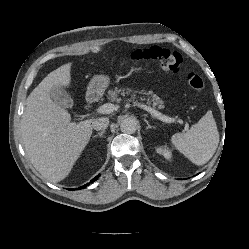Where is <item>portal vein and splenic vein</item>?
Returning <instances> with one entry per match:
<instances>
[{"label":"portal vein and splenic vein","mask_w":249,"mask_h":249,"mask_svg":"<svg viewBox=\"0 0 249 249\" xmlns=\"http://www.w3.org/2000/svg\"><path fill=\"white\" fill-rule=\"evenodd\" d=\"M134 104L137 105L138 107L146 110L152 116L156 117L157 119H159V120H161L163 122H166V123H174L175 122L174 118L166 116V115L160 113L159 111L155 110L152 107H149V106H147L145 104L137 103V102H134ZM114 109H115V105L114 104H112V103H106V104H103L102 106H100L97 109V112L101 113V114H110V113H112L114 111ZM185 129H188V125L187 124L185 126Z\"/></svg>","instance_id":"1"}]
</instances>
